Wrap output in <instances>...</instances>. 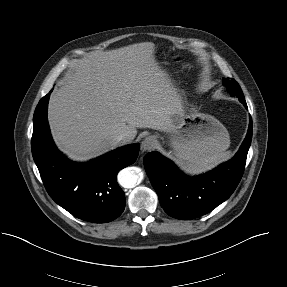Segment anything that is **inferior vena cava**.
<instances>
[{
  "label": "inferior vena cava",
  "mask_w": 287,
  "mask_h": 287,
  "mask_svg": "<svg viewBox=\"0 0 287 287\" xmlns=\"http://www.w3.org/2000/svg\"><path fill=\"white\" fill-rule=\"evenodd\" d=\"M128 141H129L128 137L124 134L115 135L112 137V140H111L114 146L123 145L127 143Z\"/></svg>",
  "instance_id": "inferior-vena-cava-1"
}]
</instances>
